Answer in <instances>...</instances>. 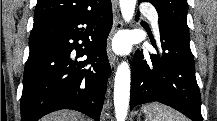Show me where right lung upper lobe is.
I'll use <instances>...</instances> for the list:
<instances>
[{
    "label": "right lung upper lobe",
    "instance_id": "right-lung-upper-lobe-1",
    "mask_svg": "<svg viewBox=\"0 0 217 121\" xmlns=\"http://www.w3.org/2000/svg\"><path fill=\"white\" fill-rule=\"evenodd\" d=\"M96 5V0H38L34 24L77 16Z\"/></svg>",
    "mask_w": 217,
    "mask_h": 121
}]
</instances>
